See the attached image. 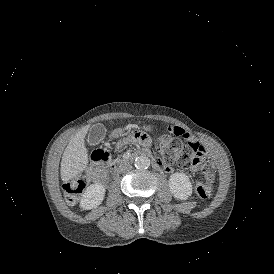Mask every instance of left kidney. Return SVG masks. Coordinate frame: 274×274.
Instances as JSON below:
<instances>
[{
	"label": "left kidney",
	"mask_w": 274,
	"mask_h": 274,
	"mask_svg": "<svg viewBox=\"0 0 274 274\" xmlns=\"http://www.w3.org/2000/svg\"><path fill=\"white\" fill-rule=\"evenodd\" d=\"M172 194L182 200L189 198L192 194V184L183 173H175L169 180Z\"/></svg>",
	"instance_id": "left-kidney-1"
}]
</instances>
